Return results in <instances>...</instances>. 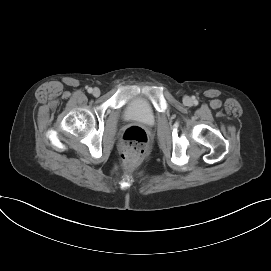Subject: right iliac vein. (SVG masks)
<instances>
[{
  "label": "right iliac vein",
  "instance_id": "1",
  "mask_svg": "<svg viewBox=\"0 0 271 271\" xmlns=\"http://www.w3.org/2000/svg\"><path fill=\"white\" fill-rule=\"evenodd\" d=\"M92 94L95 96V97H98L100 95V90L98 88H94L93 91H92Z\"/></svg>",
  "mask_w": 271,
  "mask_h": 271
}]
</instances>
